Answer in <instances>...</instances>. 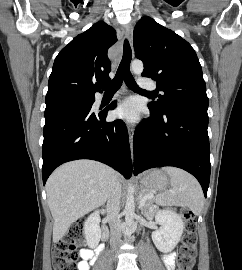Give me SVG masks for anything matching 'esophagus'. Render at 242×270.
I'll return each mask as SVG.
<instances>
[{
  "label": "esophagus",
  "mask_w": 242,
  "mask_h": 270,
  "mask_svg": "<svg viewBox=\"0 0 242 270\" xmlns=\"http://www.w3.org/2000/svg\"><path fill=\"white\" fill-rule=\"evenodd\" d=\"M125 37L128 39V42L130 46L132 47V42H133V25L132 23H129L126 28H125ZM128 134H129V141H130V147H131V152L133 148V136H134V128L133 126H128Z\"/></svg>",
  "instance_id": "1"
}]
</instances>
